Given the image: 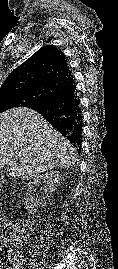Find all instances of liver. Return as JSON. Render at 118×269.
<instances>
[{
  "instance_id": "liver-1",
  "label": "liver",
  "mask_w": 118,
  "mask_h": 269,
  "mask_svg": "<svg viewBox=\"0 0 118 269\" xmlns=\"http://www.w3.org/2000/svg\"><path fill=\"white\" fill-rule=\"evenodd\" d=\"M76 149L42 115L29 108L0 114V167L23 180L76 164Z\"/></svg>"
}]
</instances>
